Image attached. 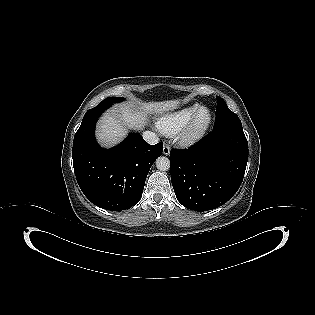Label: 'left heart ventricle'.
I'll use <instances>...</instances> for the list:
<instances>
[{
  "mask_svg": "<svg viewBox=\"0 0 315 315\" xmlns=\"http://www.w3.org/2000/svg\"><path fill=\"white\" fill-rule=\"evenodd\" d=\"M206 119H207V113L206 112L201 113L198 119V124L199 125L203 124L206 121Z\"/></svg>",
  "mask_w": 315,
  "mask_h": 315,
  "instance_id": "b2bd125f",
  "label": "left heart ventricle"
}]
</instances>
